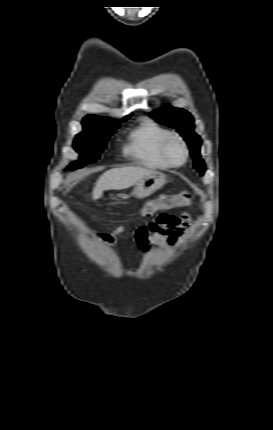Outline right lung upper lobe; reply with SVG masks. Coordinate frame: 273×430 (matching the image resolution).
<instances>
[{
    "label": "right lung upper lobe",
    "instance_id": "cb5924a9",
    "mask_svg": "<svg viewBox=\"0 0 273 430\" xmlns=\"http://www.w3.org/2000/svg\"><path fill=\"white\" fill-rule=\"evenodd\" d=\"M128 117L129 116H127L126 118ZM83 123L91 124V125H102V126L118 125V123L114 119L101 117V116H94V115H89L86 118H84Z\"/></svg>",
    "mask_w": 273,
    "mask_h": 430
}]
</instances>
